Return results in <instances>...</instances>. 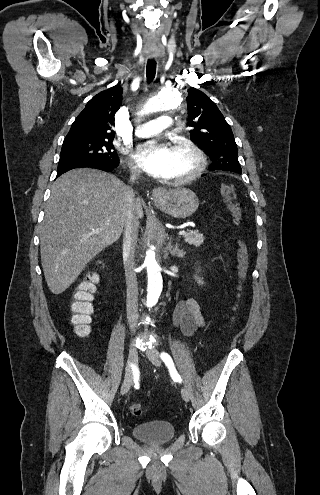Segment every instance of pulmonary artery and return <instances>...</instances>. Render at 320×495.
<instances>
[{
  "mask_svg": "<svg viewBox=\"0 0 320 495\" xmlns=\"http://www.w3.org/2000/svg\"><path fill=\"white\" fill-rule=\"evenodd\" d=\"M172 125L170 116L162 115L155 120L143 123L136 128L135 135L138 137H150L169 129Z\"/></svg>",
  "mask_w": 320,
  "mask_h": 495,
  "instance_id": "e3ab8cb5",
  "label": "pulmonary artery"
}]
</instances>
